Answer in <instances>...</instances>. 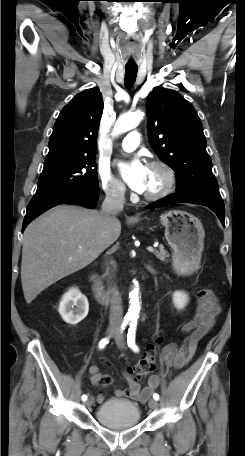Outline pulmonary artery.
Listing matches in <instances>:
<instances>
[{
	"label": "pulmonary artery",
	"mask_w": 245,
	"mask_h": 456,
	"mask_svg": "<svg viewBox=\"0 0 245 456\" xmlns=\"http://www.w3.org/2000/svg\"><path fill=\"white\" fill-rule=\"evenodd\" d=\"M140 142V135L137 131H132L127 134L120 144V147L125 152L134 151Z\"/></svg>",
	"instance_id": "obj_1"
}]
</instances>
